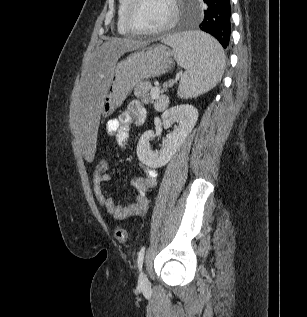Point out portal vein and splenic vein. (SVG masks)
<instances>
[{
  "label": "portal vein and splenic vein",
  "instance_id": "portal-vein-and-splenic-vein-1",
  "mask_svg": "<svg viewBox=\"0 0 307 317\" xmlns=\"http://www.w3.org/2000/svg\"><path fill=\"white\" fill-rule=\"evenodd\" d=\"M150 94L153 99H158L160 95V88L157 86L151 88Z\"/></svg>",
  "mask_w": 307,
  "mask_h": 317
}]
</instances>
